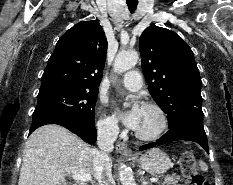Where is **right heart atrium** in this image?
Segmentation results:
<instances>
[{
  "label": "right heart atrium",
  "instance_id": "obj_1",
  "mask_svg": "<svg viewBox=\"0 0 233 185\" xmlns=\"http://www.w3.org/2000/svg\"><path fill=\"white\" fill-rule=\"evenodd\" d=\"M97 130L106 137H116L120 132L117 120L104 112L101 113L97 122Z\"/></svg>",
  "mask_w": 233,
  "mask_h": 185
}]
</instances>
